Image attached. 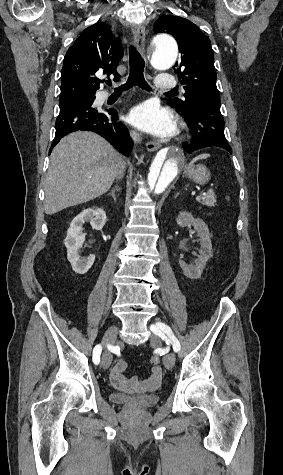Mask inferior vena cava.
Instances as JSON below:
<instances>
[{
    "label": "inferior vena cava",
    "instance_id": "obj_1",
    "mask_svg": "<svg viewBox=\"0 0 283 475\" xmlns=\"http://www.w3.org/2000/svg\"><path fill=\"white\" fill-rule=\"evenodd\" d=\"M130 136H131L133 142H135V144H140V142H141L140 134H137V132H131ZM124 168H125V162H121L120 170L117 174L118 180H121V178H123Z\"/></svg>",
    "mask_w": 283,
    "mask_h": 475
}]
</instances>
